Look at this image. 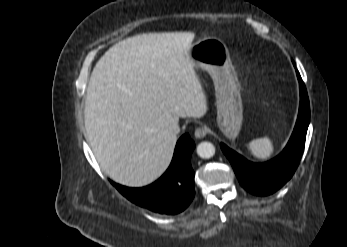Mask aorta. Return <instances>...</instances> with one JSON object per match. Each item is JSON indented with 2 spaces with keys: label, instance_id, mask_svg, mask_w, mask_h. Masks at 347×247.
<instances>
[{
  "label": "aorta",
  "instance_id": "1",
  "mask_svg": "<svg viewBox=\"0 0 347 247\" xmlns=\"http://www.w3.org/2000/svg\"><path fill=\"white\" fill-rule=\"evenodd\" d=\"M197 154L199 157L209 159L215 154V147L211 142L204 141L197 146Z\"/></svg>",
  "mask_w": 347,
  "mask_h": 247
}]
</instances>
